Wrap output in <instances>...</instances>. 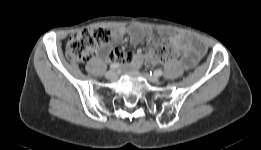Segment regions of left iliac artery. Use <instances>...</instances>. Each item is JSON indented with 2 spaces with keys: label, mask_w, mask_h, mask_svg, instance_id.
I'll return each mask as SVG.
<instances>
[{
  "label": "left iliac artery",
  "mask_w": 261,
  "mask_h": 150,
  "mask_svg": "<svg viewBox=\"0 0 261 150\" xmlns=\"http://www.w3.org/2000/svg\"><path fill=\"white\" fill-rule=\"evenodd\" d=\"M156 76H161L163 74L162 70L158 69L154 72ZM151 75V74H150Z\"/></svg>",
  "instance_id": "1"
}]
</instances>
